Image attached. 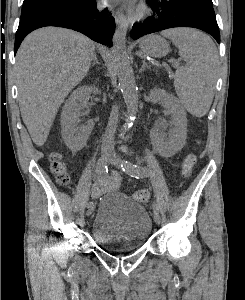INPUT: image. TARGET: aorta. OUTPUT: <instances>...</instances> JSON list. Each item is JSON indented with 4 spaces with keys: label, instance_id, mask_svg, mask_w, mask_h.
Returning <instances> with one entry per match:
<instances>
[{
    "label": "aorta",
    "instance_id": "aorta-1",
    "mask_svg": "<svg viewBox=\"0 0 245 300\" xmlns=\"http://www.w3.org/2000/svg\"><path fill=\"white\" fill-rule=\"evenodd\" d=\"M127 24L122 21L113 36V55L119 88L127 106V122H131L138 110V89L126 49Z\"/></svg>",
    "mask_w": 245,
    "mask_h": 300
}]
</instances>
